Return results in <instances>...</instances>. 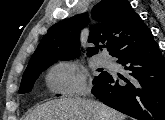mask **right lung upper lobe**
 Listing matches in <instances>:
<instances>
[{
  "label": "right lung upper lobe",
  "mask_w": 165,
  "mask_h": 120,
  "mask_svg": "<svg viewBox=\"0 0 165 120\" xmlns=\"http://www.w3.org/2000/svg\"><path fill=\"white\" fill-rule=\"evenodd\" d=\"M89 18L93 26L88 42L95 47L87 49L88 56L97 54L99 44L106 43L114 57L151 32L127 0H101L92 7ZM86 22L85 15L78 14L51 26L28 65L47 59L77 57L80 31Z\"/></svg>",
  "instance_id": "1"
}]
</instances>
